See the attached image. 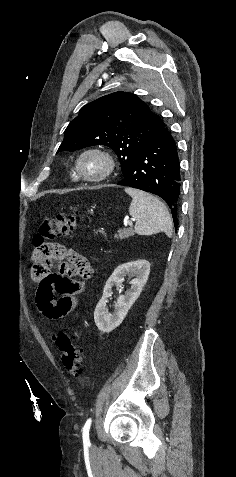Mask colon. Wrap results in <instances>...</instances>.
Returning a JSON list of instances; mask_svg holds the SVG:
<instances>
[{
  "mask_svg": "<svg viewBox=\"0 0 236 477\" xmlns=\"http://www.w3.org/2000/svg\"><path fill=\"white\" fill-rule=\"evenodd\" d=\"M77 227L76 216L58 215L53 219L44 220L38 227L34 235L33 252V276L39 277L43 274L40 270L42 262L57 253V250L47 242L55 237L69 236ZM82 272L91 273V265L84 263ZM76 336L69 332H61L57 337V346L64 368L74 378H80L83 373V353L74 344Z\"/></svg>",
  "mask_w": 236,
  "mask_h": 477,
  "instance_id": "obj_1",
  "label": "colon"
}]
</instances>
